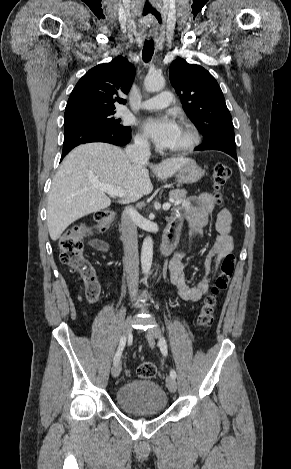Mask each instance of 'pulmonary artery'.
I'll list each match as a JSON object with an SVG mask.
<instances>
[{
	"label": "pulmonary artery",
	"mask_w": 291,
	"mask_h": 469,
	"mask_svg": "<svg viewBox=\"0 0 291 469\" xmlns=\"http://www.w3.org/2000/svg\"><path fill=\"white\" fill-rule=\"evenodd\" d=\"M173 100L172 94L169 91H162L158 95L143 101L140 108L144 110H157L163 109L171 105Z\"/></svg>",
	"instance_id": "pulmonary-artery-1"
}]
</instances>
